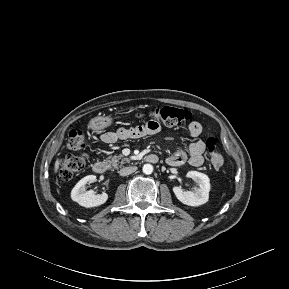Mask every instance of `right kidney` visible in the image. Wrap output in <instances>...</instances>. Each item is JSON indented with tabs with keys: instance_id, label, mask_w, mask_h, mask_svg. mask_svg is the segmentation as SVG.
Returning <instances> with one entry per match:
<instances>
[{
	"instance_id": "ca27d5eb",
	"label": "right kidney",
	"mask_w": 289,
	"mask_h": 289,
	"mask_svg": "<svg viewBox=\"0 0 289 289\" xmlns=\"http://www.w3.org/2000/svg\"><path fill=\"white\" fill-rule=\"evenodd\" d=\"M95 180V175H88L82 178L71 191L72 200L86 208L104 204L108 199L106 193L96 195L93 190L86 191L85 189L87 183L94 182Z\"/></svg>"
}]
</instances>
